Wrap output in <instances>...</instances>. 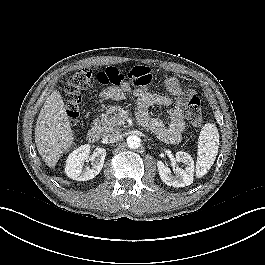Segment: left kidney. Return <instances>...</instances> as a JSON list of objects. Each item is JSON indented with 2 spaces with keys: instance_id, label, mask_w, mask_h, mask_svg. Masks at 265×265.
<instances>
[{
  "instance_id": "obj_1",
  "label": "left kidney",
  "mask_w": 265,
  "mask_h": 265,
  "mask_svg": "<svg viewBox=\"0 0 265 265\" xmlns=\"http://www.w3.org/2000/svg\"><path fill=\"white\" fill-rule=\"evenodd\" d=\"M176 160L184 163L185 170L177 167L174 171L175 175L171 174V170L166 167L162 161L157 162L161 180L168 186L177 188L191 185L194 177L193 158L188 153L179 151L176 153Z\"/></svg>"
}]
</instances>
